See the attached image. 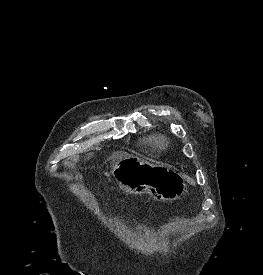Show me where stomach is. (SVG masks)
<instances>
[{
  "instance_id": "1",
  "label": "stomach",
  "mask_w": 263,
  "mask_h": 275,
  "mask_svg": "<svg viewBox=\"0 0 263 275\" xmlns=\"http://www.w3.org/2000/svg\"><path fill=\"white\" fill-rule=\"evenodd\" d=\"M115 185L126 194L148 193L157 201H174L186 191L183 175L136 156H127L112 169Z\"/></svg>"
}]
</instances>
